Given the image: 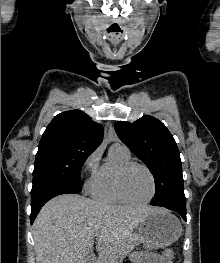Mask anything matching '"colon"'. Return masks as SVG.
Returning a JSON list of instances; mask_svg holds the SVG:
<instances>
[{
    "instance_id": "1",
    "label": "colon",
    "mask_w": 220,
    "mask_h": 263,
    "mask_svg": "<svg viewBox=\"0 0 220 263\" xmlns=\"http://www.w3.org/2000/svg\"><path fill=\"white\" fill-rule=\"evenodd\" d=\"M163 258L172 263L174 258V251L172 249H166L163 253Z\"/></svg>"
}]
</instances>
